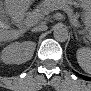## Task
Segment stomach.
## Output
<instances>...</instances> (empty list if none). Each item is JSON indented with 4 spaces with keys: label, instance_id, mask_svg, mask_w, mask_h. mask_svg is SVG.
Masks as SVG:
<instances>
[{
    "label": "stomach",
    "instance_id": "0dacf381",
    "mask_svg": "<svg viewBox=\"0 0 91 91\" xmlns=\"http://www.w3.org/2000/svg\"><path fill=\"white\" fill-rule=\"evenodd\" d=\"M79 3H81V2H79ZM84 20H85L87 28L89 29V26H90V14L89 13L84 15Z\"/></svg>",
    "mask_w": 91,
    "mask_h": 91
}]
</instances>
